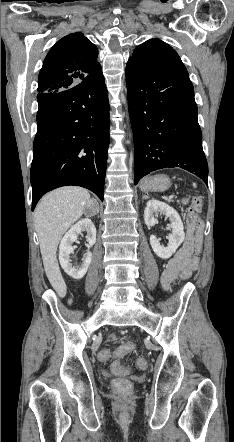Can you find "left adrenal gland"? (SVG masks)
Here are the masks:
<instances>
[{"instance_id": "1", "label": "left adrenal gland", "mask_w": 234, "mask_h": 442, "mask_svg": "<svg viewBox=\"0 0 234 442\" xmlns=\"http://www.w3.org/2000/svg\"><path fill=\"white\" fill-rule=\"evenodd\" d=\"M143 199H148V196H147V195H144V196H143Z\"/></svg>"}]
</instances>
